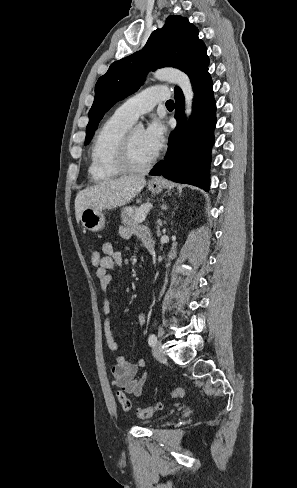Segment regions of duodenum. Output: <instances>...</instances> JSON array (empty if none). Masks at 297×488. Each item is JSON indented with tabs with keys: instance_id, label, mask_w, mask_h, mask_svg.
Wrapping results in <instances>:
<instances>
[{
	"instance_id": "410a0bca",
	"label": "duodenum",
	"mask_w": 297,
	"mask_h": 488,
	"mask_svg": "<svg viewBox=\"0 0 297 488\" xmlns=\"http://www.w3.org/2000/svg\"><path fill=\"white\" fill-rule=\"evenodd\" d=\"M147 250L150 254H153L154 253V246L153 245L147 246Z\"/></svg>"
}]
</instances>
